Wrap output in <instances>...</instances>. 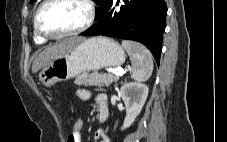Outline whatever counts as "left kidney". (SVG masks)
Returning <instances> with one entry per match:
<instances>
[{"instance_id": "obj_1", "label": "left kidney", "mask_w": 227, "mask_h": 142, "mask_svg": "<svg viewBox=\"0 0 227 142\" xmlns=\"http://www.w3.org/2000/svg\"><path fill=\"white\" fill-rule=\"evenodd\" d=\"M148 87L138 82H129L120 89V96L126 108V117L122 130L130 127L140 114L148 96Z\"/></svg>"}]
</instances>
